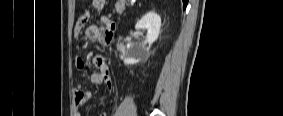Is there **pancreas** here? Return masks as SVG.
<instances>
[{
    "instance_id": "pancreas-1",
    "label": "pancreas",
    "mask_w": 283,
    "mask_h": 116,
    "mask_svg": "<svg viewBox=\"0 0 283 116\" xmlns=\"http://www.w3.org/2000/svg\"><path fill=\"white\" fill-rule=\"evenodd\" d=\"M116 11L119 15H121L124 11V5L122 1H118L115 5Z\"/></svg>"
}]
</instances>
